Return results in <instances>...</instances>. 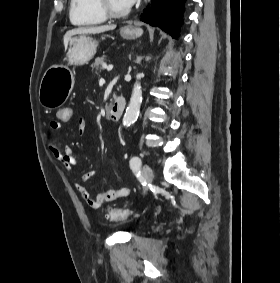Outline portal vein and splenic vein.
Returning a JSON list of instances; mask_svg holds the SVG:
<instances>
[{
    "label": "portal vein and splenic vein",
    "instance_id": "obj_1",
    "mask_svg": "<svg viewBox=\"0 0 280 283\" xmlns=\"http://www.w3.org/2000/svg\"><path fill=\"white\" fill-rule=\"evenodd\" d=\"M108 71L112 70L113 69V65H109L107 68H106ZM101 82H105L104 80H101Z\"/></svg>",
    "mask_w": 280,
    "mask_h": 283
}]
</instances>
